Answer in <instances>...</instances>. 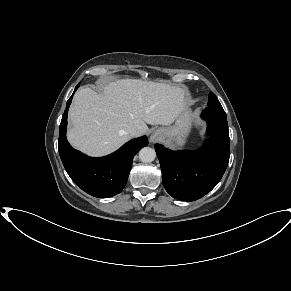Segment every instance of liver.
I'll use <instances>...</instances> for the list:
<instances>
[{
  "label": "liver",
  "instance_id": "liver-1",
  "mask_svg": "<svg viewBox=\"0 0 291 291\" xmlns=\"http://www.w3.org/2000/svg\"><path fill=\"white\" fill-rule=\"evenodd\" d=\"M184 90L136 79L109 82L104 93L90 88L77 91L69 110L67 133L72 146L91 156L109 154L150 125H171L186 104Z\"/></svg>",
  "mask_w": 291,
  "mask_h": 291
}]
</instances>
